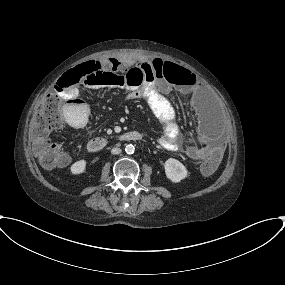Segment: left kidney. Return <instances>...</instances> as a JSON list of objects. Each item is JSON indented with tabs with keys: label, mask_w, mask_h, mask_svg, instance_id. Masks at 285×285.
I'll return each instance as SVG.
<instances>
[{
	"label": "left kidney",
	"mask_w": 285,
	"mask_h": 285,
	"mask_svg": "<svg viewBox=\"0 0 285 285\" xmlns=\"http://www.w3.org/2000/svg\"><path fill=\"white\" fill-rule=\"evenodd\" d=\"M164 169L166 177L174 183L180 182L188 175V171L185 166L181 162L173 158H169L165 161Z\"/></svg>",
	"instance_id": "1"
}]
</instances>
